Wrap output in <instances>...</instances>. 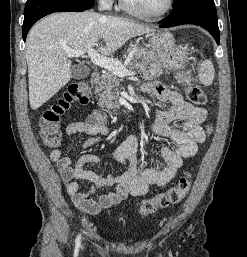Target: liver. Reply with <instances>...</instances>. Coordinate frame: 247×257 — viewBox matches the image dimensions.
I'll use <instances>...</instances> for the list:
<instances>
[{
  "label": "liver",
  "instance_id": "obj_1",
  "mask_svg": "<svg viewBox=\"0 0 247 257\" xmlns=\"http://www.w3.org/2000/svg\"><path fill=\"white\" fill-rule=\"evenodd\" d=\"M151 31L133 21L92 11L45 17L32 27L26 41L31 108L41 107L70 81L72 61L66 49L96 46L97 52L110 56L129 39Z\"/></svg>",
  "mask_w": 247,
  "mask_h": 257
}]
</instances>
